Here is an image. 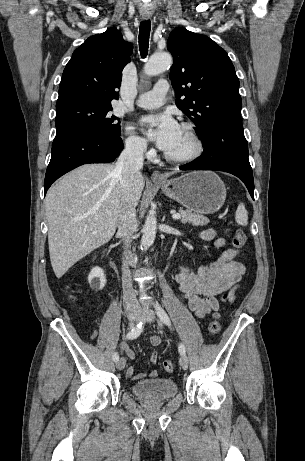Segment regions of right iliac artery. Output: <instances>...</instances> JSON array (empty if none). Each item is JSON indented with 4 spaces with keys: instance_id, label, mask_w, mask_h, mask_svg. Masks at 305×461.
Here are the masks:
<instances>
[{
    "instance_id": "right-iliac-artery-1",
    "label": "right iliac artery",
    "mask_w": 305,
    "mask_h": 461,
    "mask_svg": "<svg viewBox=\"0 0 305 461\" xmlns=\"http://www.w3.org/2000/svg\"><path fill=\"white\" fill-rule=\"evenodd\" d=\"M144 328V321H140L135 327L131 329V331L126 335V339H135L137 338ZM113 360L116 362L119 360L118 353H114Z\"/></svg>"
}]
</instances>
